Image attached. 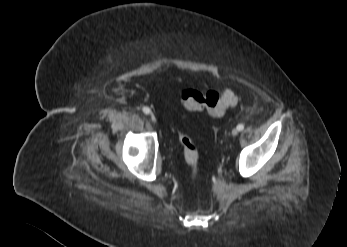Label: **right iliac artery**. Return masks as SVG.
Masks as SVG:
<instances>
[{"mask_svg":"<svg viewBox=\"0 0 347 247\" xmlns=\"http://www.w3.org/2000/svg\"><path fill=\"white\" fill-rule=\"evenodd\" d=\"M142 111L145 113V114H149L151 112L150 108L149 107H143L142 108Z\"/></svg>","mask_w":347,"mask_h":247,"instance_id":"right-iliac-artery-1","label":"right iliac artery"}]
</instances>
